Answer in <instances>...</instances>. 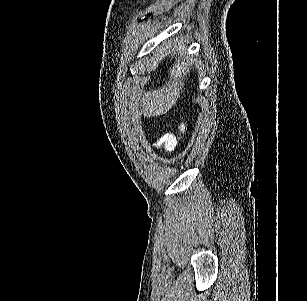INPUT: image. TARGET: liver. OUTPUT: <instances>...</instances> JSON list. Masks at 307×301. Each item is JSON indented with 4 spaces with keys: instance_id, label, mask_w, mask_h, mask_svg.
<instances>
[{
    "instance_id": "liver-1",
    "label": "liver",
    "mask_w": 307,
    "mask_h": 301,
    "mask_svg": "<svg viewBox=\"0 0 307 301\" xmlns=\"http://www.w3.org/2000/svg\"><path fill=\"white\" fill-rule=\"evenodd\" d=\"M169 46L167 40H163V44H160V48ZM186 46H178L176 52H174L175 62L169 66L167 70V80L162 86L154 88V90H147L142 94L141 112L147 118L150 116H160V114H167L168 110L175 106L177 100L181 96V92H184V86L186 80H189L188 74L191 72V66L194 64L195 58L186 56ZM170 54V52H169Z\"/></svg>"
}]
</instances>
